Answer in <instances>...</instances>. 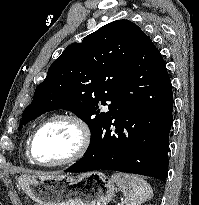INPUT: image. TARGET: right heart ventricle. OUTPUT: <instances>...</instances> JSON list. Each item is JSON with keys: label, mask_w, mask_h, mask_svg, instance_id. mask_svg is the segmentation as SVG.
<instances>
[{"label": "right heart ventricle", "mask_w": 199, "mask_h": 205, "mask_svg": "<svg viewBox=\"0 0 199 205\" xmlns=\"http://www.w3.org/2000/svg\"><path fill=\"white\" fill-rule=\"evenodd\" d=\"M25 155H26L28 162H30V159H29L28 154H27V146H26V150H25Z\"/></svg>", "instance_id": "obj_1"}]
</instances>
